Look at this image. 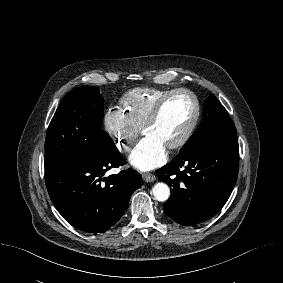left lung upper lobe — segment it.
Wrapping results in <instances>:
<instances>
[{
	"label": "left lung upper lobe",
	"mask_w": 283,
	"mask_h": 283,
	"mask_svg": "<svg viewBox=\"0 0 283 283\" xmlns=\"http://www.w3.org/2000/svg\"><path fill=\"white\" fill-rule=\"evenodd\" d=\"M237 134L235 125L224 106L210 95L204 103L203 119L181 151L198 143L227 138ZM180 151V152H181Z\"/></svg>",
	"instance_id": "1"
}]
</instances>
